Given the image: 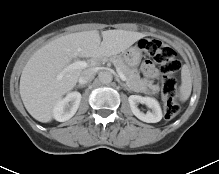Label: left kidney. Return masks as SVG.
I'll use <instances>...</instances> for the list:
<instances>
[{
  "mask_svg": "<svg viewBox=\"0 0 219 174\" xmlns=\"http://www.w3.org/2000/svg\"><path fill=\"white\" fill-rule=\"evenodd\" d=\"M132 113L141 121L147 123H157L162 119V111L158 101L151 97H142L139 95H131L128 98ZM145 104L151 111L147 113L141 112L137 104Z\"/></svg>",
  "mask_w": 219,
  "mask_h": 174,
  "instance_id": "left-kidney-1",
  "label": "left kidney"
}]
</instances>
